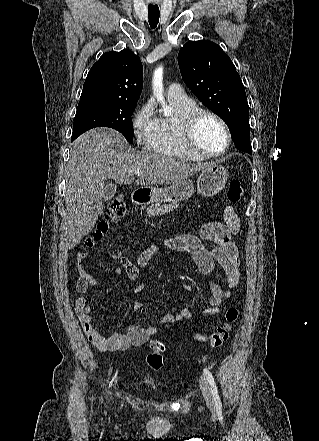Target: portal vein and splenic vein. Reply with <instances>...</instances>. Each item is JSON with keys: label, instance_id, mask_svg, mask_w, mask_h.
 Listing matches in <instances>:
<instances>
[{"label": "portal vein and splenic vein", "instance_id": "obj_1", "mask_svg": "<svg viewBox=\"0 0 319 441\" xmlns=\"http://www.w3.org/2000/svg\"><path fill=\"white\" fill-rule=\"evenodd\" d=\"M133 173H135V174H140V173H141V169H139V168H135V169L133 170Z\"/></svg>", "mask_w": 319, "mask_h": 441}]
</instances>
